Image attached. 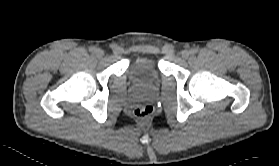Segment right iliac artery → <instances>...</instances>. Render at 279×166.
Returning <instances> with one entry per match:
<instances>
[{
  "label": "right iliac artery",
  "mask_w": 279,
  "mask_h": 166,
  "mask_svg": "<svg viewBox=\"0 0 279 166\" xmlns=\"http://www.w3.org/2000/svg\"><path fill=\"white\" fill-rule=\"evenodd\" d=\"M89 51H90L91 53H94V52L96 51V48H95V47H90V48H89Z\"/></svg>",
  "instance_id": "1"
}]
</instances>
